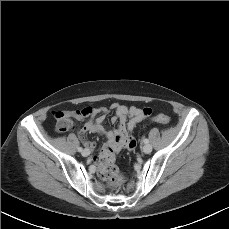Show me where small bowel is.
I'll list each match as a JSON object with an SVG mask.
<instances>
[{
  "instance_id": "small-bowel-1",
  "label": "small bowel",
  "mask_w": 229,
  "mask_h": 229,
  "mask_svg": "<svg viewBox=\"0 0 229 229\" xmlns=\"http://www.w3.org/2000/svg\"><path fill=\"white\" fill-rule=\"evenodd\" d=\"M111 109L115 110V116H113L112 121H118L119 126L117 129L109 131L102 126L105 119V113L108 111L107 108L87 107L83 110L72 112L78 120H81L84 117H90V119L78 130L79 137L88 150L93 147V143L85 138L88 133H100L105 135L108 139L107 146L116 154L119 153L122 147H126L129 150H133L136 147V140L132 136H129L127 131L132 130L136 124L146 118L143 115L142 109L134 106L127 107L119 103L112 104ZM84 112H88L90 115L84 116ZM58 114L59 113H57V115ZM96 114L99 115L95 117ZM92 160L95 163H99L97 157H93Z\"/></svg>"
}]
</instances>
